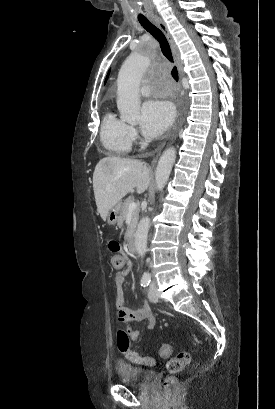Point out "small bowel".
I'll return each instance as SVG.
<instances>
[{"label": "small bowel", "instance_id": "1", "mask_svg": "<svg viewBox=\"0 0 275 409\" xmlns=\"http://www.w3.org/2000/svg\"><path fill=\"white\" fill-rule=\"evenodd\" d=\"M123 280L122 273L116 277L117 284H121ZM116 317L121 322L127 323H141L146 329H153L156 325V318L153 314L152 307L149 302H143L138 308H125L118 306L116 310ZM127 330V333H125ZM135 325H128L127 329L124 325H119L117 327V345L120 350V353L123 354L125 360H131L133 366L143 365H154L155 360L148 357H142L141 351H132L131 350V337L130 334L137 338L139 332L136 331ZM142 359V360H141ZM151 360V362H149Z\"/></svg>", "mask_w": 275, "mask_h": 409}]
</instances>
